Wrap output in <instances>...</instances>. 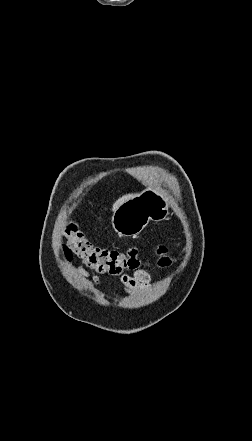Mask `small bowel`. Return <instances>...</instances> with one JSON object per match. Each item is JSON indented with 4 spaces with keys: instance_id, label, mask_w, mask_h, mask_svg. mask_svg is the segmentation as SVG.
<instances>
[{
    "instance_id": "small-bowel-1",
    "label": "small bowel",
    "mask_w": 252,
    "mask_h": 441,
    "mask_svg": "<svg viewBox=\"0 0 252 441\" xmlns=\"http://www.w3.org/2000/svg\"><path fill=\"white\" fill-rule=\"evenodd\" d=\"M78 272L81 274L83 280L93 288H96L100 284L98 276L85 270L82 266L77 267ZM151 280L150 275L144 270H136L132 275L123 274L119 276V281L123 285L124 289L131 293L137 291L149 284Z\"/></svg>"
}]
</instances>
